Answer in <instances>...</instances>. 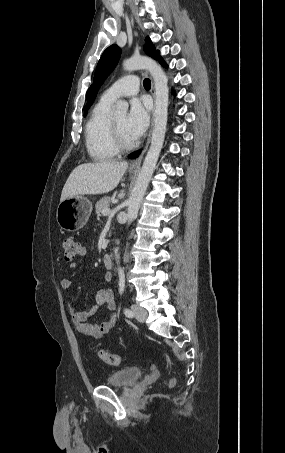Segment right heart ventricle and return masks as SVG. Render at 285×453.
I'll return each mask as SVG.
<instances>
[{"label":"right heart ventricle","instance_id":"right-heart-ventricle-1","mask_svg":"<svg viewBox=\"0 0 285 453\" xmlns=\"http://www.w3.org/2000/svg\"><path fill=\"white\" fill-rule=\"evenodd\" d=\"M112 102L102 98L94 106L85 126V144L90 157L95 161H107L118 154L112 133L110 110Z\"/></svg>","mask_w":285,"mask_h":453}]
</instances>
